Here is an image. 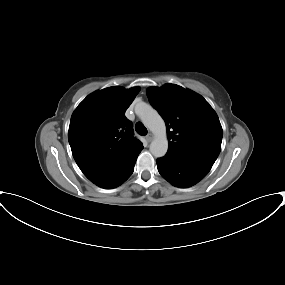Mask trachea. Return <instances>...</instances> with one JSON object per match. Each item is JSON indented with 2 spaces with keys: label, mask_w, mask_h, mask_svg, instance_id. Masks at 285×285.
Returning <instances> with one entry per match:
<instances>
[{
  "label": "trachea",
  "mask_w": 285,
  "mask_h": 285,
  "mask_svg": "<svg viewBox=\"0 0 285 285\" xmlns=\"http://www.w3.org/2000/svg\"><path fill=\"white\" fill-rule=\"evenodd\" d=\"M135 130L141 136H145L147 134V129L141 122L136 123Z\"/></svg>",
  "instance_id": "3493384b"
}]
</instances>
